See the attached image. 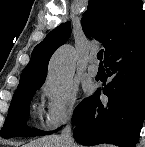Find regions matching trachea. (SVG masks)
Masks as SVG:
<instances>
[{
  "instance_id": "1",
  "label": "trachea",
  "mask_w": 145,
  "mask_h": 147,
  "mask_svg": "<svg viewBox=\"0 0 145 147\" xmlns=\"http://www.w3.org/2000/svg\"><path fill=\"white\" fill-rule=\"evenodd\" d=\"M97 58L100 60V65H102L103 50H100L97 54Z\"/></svg>"
}]
</instances>
